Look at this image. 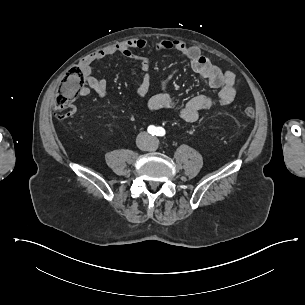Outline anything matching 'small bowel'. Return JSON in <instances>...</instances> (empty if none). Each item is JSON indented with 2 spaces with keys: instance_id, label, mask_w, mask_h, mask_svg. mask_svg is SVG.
Segmentation results:
<instances>
[{
  "instance_id": "obj_1",
  "label": "small bowel",
  "mask_w": 305,
  "mask_h": 305,
  "mask_svg": "<svg viewBox=\"0 0 305 305\" xmlns=\"http://www.w3.org/2000/svg\"><path fill=\"white\" fill-rule=\"evenodd\" d=\"M147 45L148 41L145 38H134L96 50L87 55L79 65L85 82V85L79 90V95L86 97L91 91H95L100 98H105L108 83L106 80L98 79L93 75L92 64L112 55L120 54L139 63L142 79L136 93L140 97L146 96L150 89L151 63L149 58L138 55L135 50L144 49ZM154 50H172L180 53L190 61L193 71L201 80L207 82L213 88L220 89L216 99L204 95L189 99L179 110V116L183 121L195 123L202 111L215 106L227 107L234 100L238 89V79L235 74L230 71H223L214 65L197 46H189L180 40H163L154 44ZM177 74L178 70H173L161 79L159 91L147 101L149 110L175 109L177 107V102L169 91L170 84Z\"/></svg>"
}]
</instances>
